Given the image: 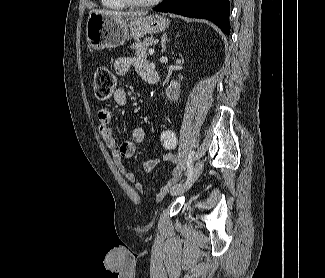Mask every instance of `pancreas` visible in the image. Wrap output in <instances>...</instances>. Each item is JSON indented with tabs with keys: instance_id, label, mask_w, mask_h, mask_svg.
Instances as JSON below:
<instances>
[{
	"instance_id": "pancreas-1",
	"label": "pancreas",
	"mask_w": 325,
	"mask_h": 278,
	"mask_svg": "<svg viewBox=\"0 0 325 278\" xmlns=\"http://www.w3.org/2000/svg\"><path fill=\"white\" fill-rule=\"evenodd\" d=\"M153 38H145L142 42H137L131 45V48L135 51L137 57L146 58L148 56V49L153 44Z\"/></svg>"
}]
</instances>
